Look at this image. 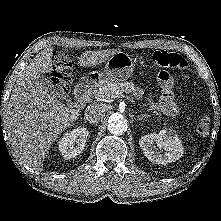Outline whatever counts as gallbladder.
<instances>
[{
    "label": "gallbladder",
    "instance_id": "gallbladder-1",
    "mask_svg": "<svg viewBox=\"0 0 221 221\" xmlns=\"http://www.w3.org/2000/svg\"><path fill=\"white\" fill-rule=\"evenodd\" d=\"M39 81L42 83V86H43L45 91H47L51 94H54L57 97L63 98V96L61 94L55 92L54 85L52 84V82L47 77H45L44 75H41L39 77Z\"/></svg>",
    "mask_w": 221,
    "mask_h": 221
}]
</instances>
